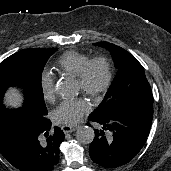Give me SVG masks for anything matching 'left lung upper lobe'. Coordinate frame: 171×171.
I'll use <instances>...</instances> for the list:
<instances>
[{"instance_id": "5c2ea615", "label": "left lung upper lobe", "mask_w": 171, "mask_h": 171, "mask_svg": "<svg viewBox=\"0 0 171 171\" xmlns=\"http://www.w3.org/2000/svg\"><path fill=\"white\" fill-rule=\"evenodd\" d=\"M108 49L118 68L103 101L90 117L142 114L153 117V96L142 65L126 50L108 42L94 43Z\"/></svg>"}]
</instances>
